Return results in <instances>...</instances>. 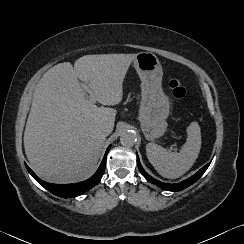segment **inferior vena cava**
<instances>
[{
	"label": "inferior vena cava",
	"instance_id": "obj_1",
	"mask_svg": "<svg viewBox=\"0 0 244 244\" xmlns=\"http://www.w3.org/2000/svg\"><path fill=\"white\" fill-rule=\"evenodd\" d=\"M99 131L104 135V136H107L111 133L112 129L111 127L106 124V123H103L99 126Z\"/></svg>",
	"mask_w": 244,
	"mask_h": 244
}]
</instances>
